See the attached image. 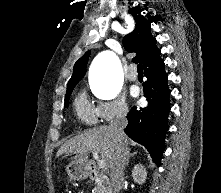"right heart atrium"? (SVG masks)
Wrapping results in <instances>:
<instances>
[{
	"label": "right heart atrium",
	"instance_id": "d8ad5b80",
	"mask_svg": "<svg viewBox=\"0 0 221 193\" xmlns=\"http://www.w3.org/2000/svg\"><path fill=\"white\" fill-rule=\"evenodd\" d=\"M97 117L102 122H111L123 118L128 113V106L123 96H115L110 100L99 101L96 106Z\"/></svg>",
	"mask_w": 221,
	"mask_h": 193
}]
</instances>
